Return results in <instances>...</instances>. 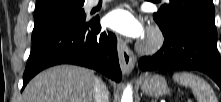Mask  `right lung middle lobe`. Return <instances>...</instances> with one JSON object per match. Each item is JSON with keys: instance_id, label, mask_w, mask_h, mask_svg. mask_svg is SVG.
Segmentation results:
<instances>
[{"instance_id": "right-lung-middle-lobe-1", "label": "right lung middle lobe", "mask_w": 221, "mask_h": 102, "mask_svg": "<svg viewBox=\"0 0 221 102\" xmlns=\"http://www.w3.org/2000/svg\"><path fill=\"white\" fill-rule=\"evenodd\" d=\"M84 0H48L35 9L32 42L64 24L86 21Z\"/></svg>"}]
</instances>
